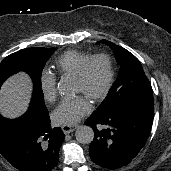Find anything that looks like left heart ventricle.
I'll return each instance as SVG.
<instances>
[{"instance_id": "1", "label": "left heart ventricle", "mask_w": 171, "mask_h": 171, "mask_svg": "<svg viewBox=\"0 0 171 171\" xmlns=\"http://www.w3.org/2000/svg\"><path fill=\"white\" fill-rule=\"evenodd\" d=\"M107 78V67L103 60L95 61L88 72L87 79L81 83L75 79L74 88L76 93H82L87 97L102 89Z\"/></svg>"}]
</instances>
